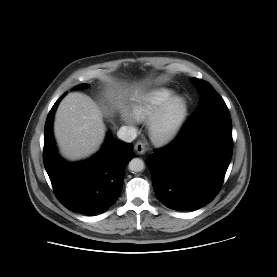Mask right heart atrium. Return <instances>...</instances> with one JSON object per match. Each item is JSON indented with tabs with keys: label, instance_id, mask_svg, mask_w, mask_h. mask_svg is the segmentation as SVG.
Segmentation results:
<instances>
[{
	"label": "right heart atrium",
	"instance_id": "right-heart-atrium-1",
	"mask_svg": "<svg viewBox=\"0 0 277 277\" xmlns=\"http://www.w3.org/2000/svg\"><path fill=\"white\" fill-rule=\"evenodd\" d=\"M126 120H127V122H129V123H131V122H132L130 119H127V118H126Z\"/></svg>",
	"mask_w": 277,
	"mask_h": 277
}]
</instances>
